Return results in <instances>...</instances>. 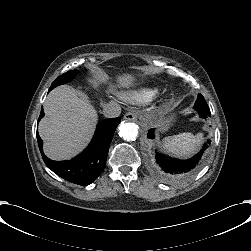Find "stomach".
Instances as JSON below:
<instances>
[{
	"label": "stomach",
	"instance_id": "0dacf381",
	"mask_svg": "<svg viewBox=\"0 0 251 251\" xmlns=\"http://www.w3.org/2000/svg\"><path fill=\"white\" fill-rule=\"evenodd\" d=\"M171 111L172 109H160L158 111V118L155 124L158 127V131H167L175 121L176 114Z\"/></svg>",
	"mask_w": 251,
	"mask_h": 251
}]
</instances>
